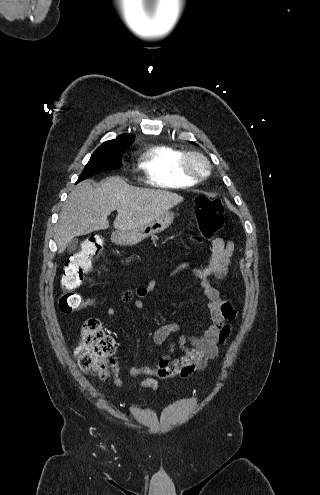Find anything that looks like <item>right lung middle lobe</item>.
Masks as SVG:
<instances>
[{
	"label": "right lung middle lobe",
	"mask_w": 320,
	"mask_h": 495,
	"mask_svg": "<svg viewBox=\"0 0 320 495\" xmlns=\"http://www.w3.org/2000/svg\"><path fill=\"white\" fill-rule=\"evenodd\" d=\"M126 149L127 148H97L76 183L95 174L121 167V157Z\"/></svg>",
	"instance_id": "1"
}]
</instances>
